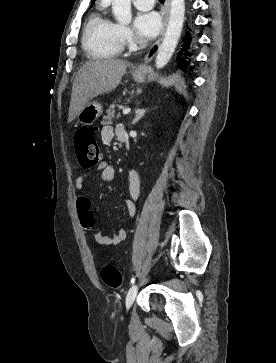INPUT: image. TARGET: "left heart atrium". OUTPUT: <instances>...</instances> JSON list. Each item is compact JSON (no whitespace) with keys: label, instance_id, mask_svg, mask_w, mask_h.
Here are the masks:
<instances>
[{"label":"left heart atrium","instance_id":"39dd6f15","mask_svg":"<svg viewBox=\"0 0 276 363\" xmlns=\"http://www.w3.org/2000/svg\"><path fill=\"white\" fill-rule=\"evenodd\" d=\"M134 28L141 39L154 38L160 31L161 18L155 11L138 12L134 20Z\"/></svg>","mask_w":276,"mask_h":363}]
</instances>
